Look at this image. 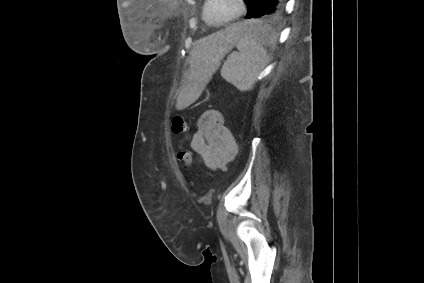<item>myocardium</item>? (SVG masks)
<instances>
[{
    "label": "myocardium",
    "mask_w": 424,
    "mask_h": 283,
    "mask_svg": "<svg viewBox=\"0 0 424 283\" xmlns=\"http://www.w3.org/2000/svg\"><path fill=\"white\" fill-rule=\"evenodd\" d=\"M211 2H212V0H205L204 9H203V16H204L206 22L208 24L212 25V26H221V25H224L226 23H229V22H232V21L239 19L245 13L246 8H247L246 0H236L238 8H237V11H236L235 14H233L230 17L224 18V19L212 21L209 18V13H208V9H209Z\"/></svg>",
    "instance_id": "f54148a6"
}]
</instances>
